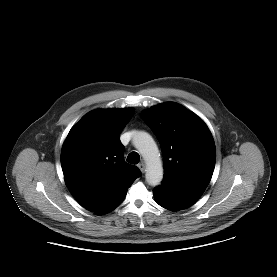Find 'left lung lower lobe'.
I'll list each match as a JSON object with an SVG mask.
<instances>
[{
  "instance_id": "left-lung-lower-lobe-1",
  "label": "left lung lower lobe",
  "mask_w": 277,
  "mask_h": 277,
  "mask_svg": "<svg viewBox=\"0 0 277 277\" xmlns=\"http://www.w3.org/2000/svg\"><path fill=\"white\" fill-rule=\"evenodd\" d=\"M201 195L202 193L177 190L163 184L154 189L155 201L172 211L191 206Z\"/></svg>"
}]
</instances>
